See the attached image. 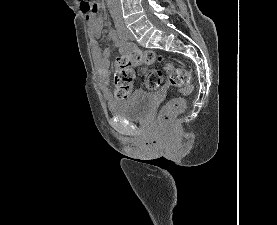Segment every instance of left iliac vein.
Wrapping results in <instances>:
<instances>
[{"instance_id":"left-iliac-vein-1","label":"left iliac vein","mask_w":277,"mask_h":225,"mask_svg":"<svg viewBox=\"0 0 277 225\" xmlns=\"http://www.w3.org/2000/svg\"><path fill=\"white\" fill-rule=\"evenodd\" d=\"M123 30L128 39L130 40L134 39V35L132 34V32L128 30L124 25H123Z\"/></svg>"}]
</instances>
